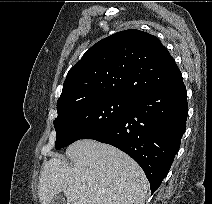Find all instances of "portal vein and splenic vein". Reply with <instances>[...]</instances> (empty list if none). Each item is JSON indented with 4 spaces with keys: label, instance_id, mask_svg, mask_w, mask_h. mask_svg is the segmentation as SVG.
I'll list each match as a JSON object with an SVG mask.
<instances>
[{
    "label": "portal vein and splenic vein",
    "instance_id": "18ae733b",
    "mask_svg": "<svg viewBox=\"0 0 212 204\" xmlns=\"http://www.w3.org/2000/svg\"><path fill=\"white\" fill-rule=\"evenodd\" d=\"M85 190V186L80 187V191H84Z\"/></svg>",
    "mask_w": 212,
    "mask_h": 204
}]
</instances>
